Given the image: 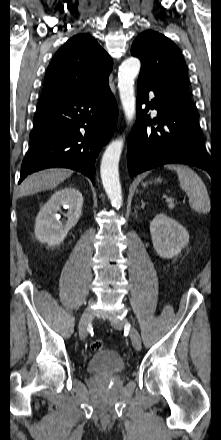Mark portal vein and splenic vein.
Here are the masks:
<instances>
[{
  "label": "portal vein and splenic vein",
  "mask_w": 221,
  "mask_h": 440,
  "mask_svg": "<svg viewBox=\"0 0 221 440\" xmlns=\"http://www.w3.org/2000/svg\"><path fill=\"white\" fill-rule=\"evenodd\" d=\"M165 199L167 202L173 201L174 199L171 196L166 195Z\"/></svg>",
  "instance_id": "1"
}]
</instances>
